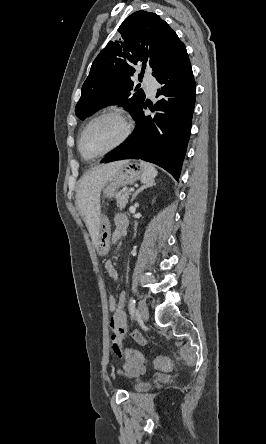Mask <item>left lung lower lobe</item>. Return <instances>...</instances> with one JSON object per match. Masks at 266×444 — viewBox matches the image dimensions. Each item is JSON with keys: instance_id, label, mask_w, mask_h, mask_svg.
<instances>
[{"instance_id": "0a47b994", "label": "left lung lower lobe", "mask_w": 266, "mask_h": 444, "mask_svg": "<svg viewBox=\"0 0 266 444\" xmlns=\"http://www.w3.org/2000/svg\"><path fill=\"white\" fill-rule=\"evenodd\" d=\"M161 84L154 116H145L146 102L135 115V132L116 151L101 160L142 159L157 164L178 181L191 131L196 84L187 52L156 78Z\"/></svg>"}]
</instances>
